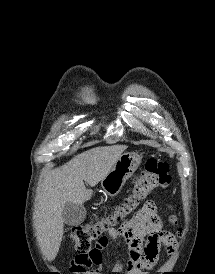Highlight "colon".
I'll return each instance as SVG.
<instances>
[{
	"mask_svg": "<svg viewBox=\"0 0 215 274\" xmlns=\"http://www.w3.org/2000/svg\"><path fill=\"white\" fill-rule=\"evenodd\" d=\"M170 181L169 166L166 162L154 158L147 160L144 170L135 179L131 191L114 211L105 214L95 222L82 224L72 229L71 239L75 249L80 254L89 253L105 230L134 213L153 190L167 189ZM168 221L175 224L174 216H170ZM163 236L168 240H174L168 232H164Z\"/></svg>",
	"mask_w": 215,
	"mask_h": 274,
	"instance_id": "5ec220e1",
	"label": "colon"
}]
</instances>
